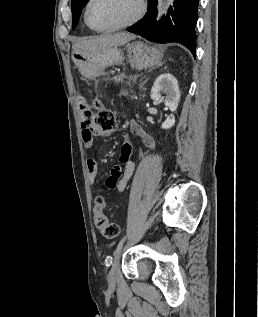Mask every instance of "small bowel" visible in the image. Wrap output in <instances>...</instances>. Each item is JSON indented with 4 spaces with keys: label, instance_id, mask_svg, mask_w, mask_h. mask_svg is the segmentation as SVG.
I'll return each instance as SVG.
<instances>
[{
    "label": "small bowel",
    "instance_id": "small-bowel-1",
    "mask_svg": "<svg viewBox=\"0 0 258 317\" xmlns=\"http://www.w3.org/2000/svg\"><path fill=\"white\" fill-rule=\"evenodd\" d=\"M130 129L134 135L141 138L143 144L150 152L155 151L156 144L153 137L146 133L140 125H138L135 121H131ZM82 140L85 148L92 147L93 136L90 135L86 129L82 130ZM130 153V144L125 142L121 149V156L119 159L120 163L112 167L110 175L104 182L105 190H118L122 192L126 189L128 181L132 177L135 169L134 162L130 159ZM87 171L90 182L94 184L98 173V165L95 159L90 158L87 160Z\"/></svg>",
    "mask_w": 258,
    "mask_h": 317
}]
</instances>
